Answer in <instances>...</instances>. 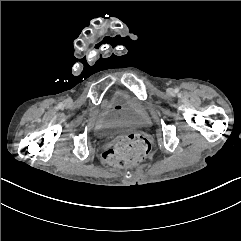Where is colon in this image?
<instances>
[{"instance_id": "colon-1", "label": "colon", "mask_w": 241, "mask_h": 241, "mask_svg": "<svg viewBox=\"0 0 241 241\" xmlns=\"http://www.w3.org/2000/svg\"><path fill=\"white\" fill-rule=\"evenodd\" d=\"M150 142L140 134H129L103 150L101 161L107 165L119 167L138 163L147 158L151 151Z\"/></svg>"}]
</instances>
